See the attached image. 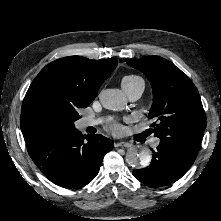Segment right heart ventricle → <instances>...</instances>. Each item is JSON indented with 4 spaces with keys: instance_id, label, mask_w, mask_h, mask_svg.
<instances>
[{
    "instance_id": "right-heart-ventricle-1",
    "label": "right heart ventricle",
    "mask_w": 221,
    "mask_h": 221,
    "mask_svg": "<svg viewBox=\"0 0 221 221\" xmlns=\"http://www.w3.org/2000/svg\"><path fill=\"white\" fill-rule=\"evenodd\" d=\"M139 82L144 83L143 79L140 76L134 74L127 75L122 79V85H131Z\"/></svg>"
}]
</instances>
